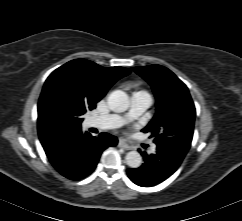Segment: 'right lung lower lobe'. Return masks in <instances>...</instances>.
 Masks as SVG:
<instances>
[{"label": "right lung lower lobe", "mask_w": 242, "mask_h": 221, "mask_svg": "<svg viewBox=\"0 0 242 221\" xmlns=\"http://www.w3.org/2000/svg\"><path fill=\"white\" fill-rule=\"evenodd\" d=\"M117 138L108 133L92 137L83 135L81 128L64 133L43 145L54 168L71 180L86 177L96 168L101 153L109 146L117 145Z\"/></svg>", "instance_id": "right-lung-lower-lobe-1"}]
</instances>
